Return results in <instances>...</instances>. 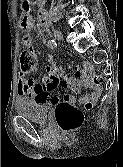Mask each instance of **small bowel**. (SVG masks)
Masks as SVG:
<instances>
[{
    "instance_id": "c3829d8e",
    "label": "small bowel",
    "mask_w": 123,
    "mask_h": 167,
    "mask_svg": "<svg viewBox=\"0 0 123 167\" xmlns=\"http://www.w3.org/2000/svg\"><path fill=\"white\" fill-rule=\"evenodd\" d=\"M21 9H28L27 1H19ZM22 26L24 28L30 29L31 24H28V20L25 18L22 21ZM24 46L32 50L33 49V38L30 34H26L23 38ZM48 65L46 67V74L42 83H36L32 79H26L20 77L18 93L21 96H28L35 101H47L52 104H59L61 102L60 98L53 95L52 92L56 85L60 83L64 87H69L76 92H79L85 87H91L92 93L85 96H66L64 102L70 104H85L89 101H96L102 89L100 86L95 85L90 77L83 78H72L64 75L59 68L56 66L55 59L53 56H48Z\"/></svg>"
}]
</instances>
